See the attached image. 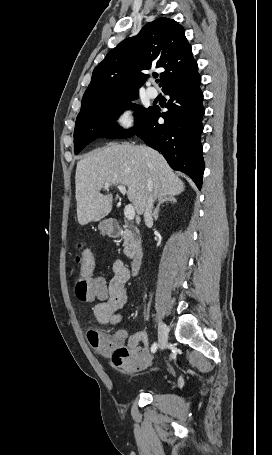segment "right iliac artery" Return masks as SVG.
<instances>
[{
  "mask_svg": "<svg viewBox=\"0 0 272 455\" xmlns=\"http://www.w3.org/2000/svg\"><path fill=\"white\" fill-rule=\"evenodd\" d=\"M157 347H158V346H157V343L154 342V343L152 344V346H151V352H152V353H155L156 350H157Z\"/></svg>",
  "mask_w": 272,
  "mask_h": 455,
  "instance_id": "1",
  "label": "right iliac artery"
}]
</instances>
